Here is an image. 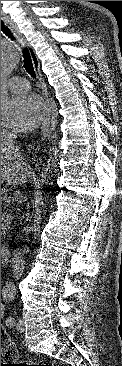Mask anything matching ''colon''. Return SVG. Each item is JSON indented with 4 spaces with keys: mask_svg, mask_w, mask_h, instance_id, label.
<instances>
[{
    "mask_svg": "<svg viewBox=\"0 0 122 366\" xmlns=\"http://www.w3.org/2000/svg\"><path fill=\"white\" fill-rule=\"evenodd\" d=\"M17 358L16 349L10 343L8 335L1 328V359L15 360ZM11 366H53L49 363L37 364L32 361H25L22 363L11 364Z\"/></svg>",
    "mask_w": 122,
    "mask_h": 366,
    "instance_id": "5ec220e1",
    "label": "colon"
}]
</instances>
